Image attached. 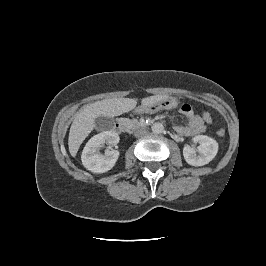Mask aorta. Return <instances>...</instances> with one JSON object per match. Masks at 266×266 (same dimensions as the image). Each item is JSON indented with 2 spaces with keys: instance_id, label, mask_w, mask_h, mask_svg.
Segmentation results:
<instances>
[{
  "instance_id": "762f6f07",
  "label": "aorta",
  "mask_w": 266,
  "mask_h": 266,
  "mask_svg": "<svg viewBox=\"0 0 266 266\" xmlns=\"http://www.w3.org/2000/svg\"><path fill=\"white\" fill-rule=\"evenodd\" d=\"M154 134H161L164 131V126L162 123L156 122L151 127Z\"/></svg>"
}]
</instances>
